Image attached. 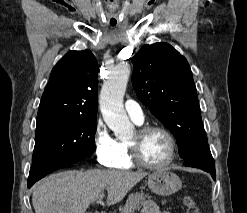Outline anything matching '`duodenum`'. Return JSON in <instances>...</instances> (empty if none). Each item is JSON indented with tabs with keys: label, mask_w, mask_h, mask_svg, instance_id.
Wrapping results in <instances>:
<instances>
[{
	"label": "duodenum",
	"mask_w": 247,
	"mask_h": 213,
	"mask_svg": "<svg viewBox=\"0 0 247 213\" xmlns=\"http://www.w3.org/2000/svg\"><path fill=\"white\" fill-rule=\"evenodd\" d=\"M100 213H109V212H107V211H102V212H100Z\"/></svg>",
	"instance_id": "duodenum-1"
}]
</instances>
